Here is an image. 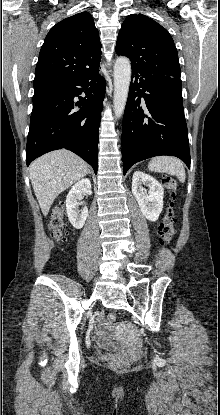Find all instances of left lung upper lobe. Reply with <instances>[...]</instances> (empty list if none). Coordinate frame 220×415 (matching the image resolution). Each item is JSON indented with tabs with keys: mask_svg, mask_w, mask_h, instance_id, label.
<instances>
[{
	"mask_svg": "<svg viewBox=\"0 0 220 415\" xmlns=\"http://www.w3.org/2000/svg\"><path fill=\"white\" fill-rule=\"evenodd\" d=\"M116 53L131 61V68L180 77L174 41L160 24L142 14L126 17L118 35Z\"/></svg>",
	"mask_w": 220,
	"mask_h": 415,
	"instance_id": "5c2ea615",
	"label": "left lung upper lobe"
}]
</instances>
